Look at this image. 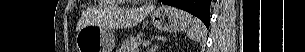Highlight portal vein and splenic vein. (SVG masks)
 Wrapping results in <instances>:
<instances>
[{
  "mask_svg": "<svg viewBox=\"0 0 305 52\" xmlns=\"http://www.w3.org/2000/svg\"><path fill=\"white\" fill-rule=\"evenodd\" d=\"M150 44H151V42L148 40V41H145V42L143 43V46L147 47V46H149Z\"/></svg>",
  "mask_w": 305,
  "mask_h": 52,
  "instance_id": "1",
  "label": "portal vein and splenic vein"
}]
</instances>
